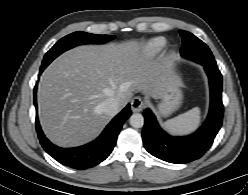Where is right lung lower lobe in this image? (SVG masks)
<instances>
[{"instance_id": "98d812e1", "label": "right lung lower lobe", "mask_w": 248, "mask_h": 195, "mask_svg": "<svg viewBox=\"0 0 248 195\" xmlns=\"http://www.w3.org/2000/svg\"><path fill=\"white\" fill-rule=\"evenodd\" d=\"M47 66H42L40 74ZM36 88L34 89V103L36 104ZM131 115L130 104H128L112 121L107 125L101 135L94 141L75 148H60L52 144L43 134L36 115V129L40 143L44 150L59 163L74 169H87L94 167L104 161L112 152L118 134Z\"/></svg>"}]
</instances>
